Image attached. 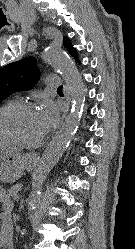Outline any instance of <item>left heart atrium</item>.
<instances>
[{"label": "left heart atrium", "mask_w": 135, "mask_h": 249, "mask_svg": "<svg viewBox=\"0 0 135 249\" xmlns=\"http://www.w3.org/2000/svg\"><path fill=\"white\" fill-rule=\"evenodd\" d=\"M38 116L42 130L45 133L57 123L58 111L52 101L45 100L38 110Z\"/></svg>", "instance_id": "39dd6f15"}]
</instances>
